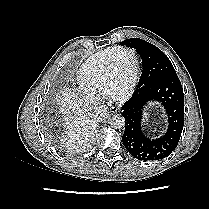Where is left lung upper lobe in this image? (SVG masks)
<instances>
[{
    "label": "left lung upper lobe",
    "mask_w": 209,
    "mask_h": 209,
    "mask_svg": "<svg viewBox=\"0 0 209 209\" xmlns=\"http://www.w3.org/2000/svg\"><path fill=\"white\" fill-rule=\"evenodd\" d=\"M121 44L135 48L142 58L143 71L137 88L154 85L166 76L177 75L169 58L151 43L139 38H131Z\"/></svg>",
    "instance_id": "obj_1"
}]
</instances>
